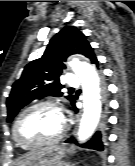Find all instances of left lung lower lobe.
<instances>
[{
	"label": "left lung lower lobe",
	"instance_id": "left-lung-lower-lobe-1",
	"mask_svg": "<svg viewBox=\"0 0 135 166\" xmlns=\"http://www.w3.org/2000/svg\"><path fill=\"white\" fill-rule=\"evenodd\" d=\"M91 63L92 64H95V65H99L98 64V60L97 58H93L91 60ZM72 105L74 106L75 105V101L72 103ZM103 109L106 110V106L103 105ZM74 110L77 112L78 109L74 106ZM73 141V138H69L66 142L68 143H71ZM104 142H105V131H104V128L100 131H97L93 137L91 138V140H89L87 143L83 144L82 147H85V148H90V149H94V150H97V151H103L104 150Z\"/></svg>",
	"mask_w": 135,
	"mask_h": 166
}]
</instances>
